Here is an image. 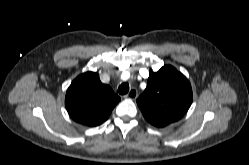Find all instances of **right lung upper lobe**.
Returning <instances> with one entry per match:
<instances>
[{
	"label": "right lung upper lobe",
	"instance_id": "1",
	"mask_svg": "<svg viewBox=\"0 0 249 165\" xmlns=\"http://www.w3.org/2000/svg\"><path fill=\"white\" fill-rule=\"evenodd\" d=\"M120 101L112 88L101 83L95 72H86L73 80L66 92L65 106L71 118L94 127L106 121Z\"/></svg>",
	"mask_w": 249,
	"mask_h": 165
}]
</instances>
